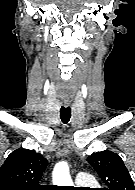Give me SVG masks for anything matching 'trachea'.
I'll return each instance as SVG.
<instances>
[{"mask_svg":"<svg viewBox=\"0 0 135 190\" xmlns=\"http://www.w3.org/2000/svg\"><path fill=\"white\" fill-rule=\"evenodd\" d=\"M60 118L64 124L68 123L71 118V108L62 106L60 109Z\"/></svg>","mask_w":135,"mask_h":190,"instance_id":"obj_1","label":"trachea"}]
</instances>
